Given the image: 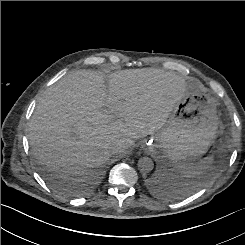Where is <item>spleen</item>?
Masks as SVG:
<instances>
[{
    "label": "spleen",
    "mask_w": 245,
    "mask_h": 245,
    "mask_svg": "<svg viewBox=\"0 0 245 245\" xmlns=\"http://www.w3.org/2000/svg\"><path fill=\"white\" fill-rule=\"evenodd\" d=\"M213 164V157L208 156L203 160L195 163H179L177 165V170L182 176L186 178H191L200 175L204 171L208 170Z\"/></svg>",
    "instance_id": "obj_1"
}]
</instances>
